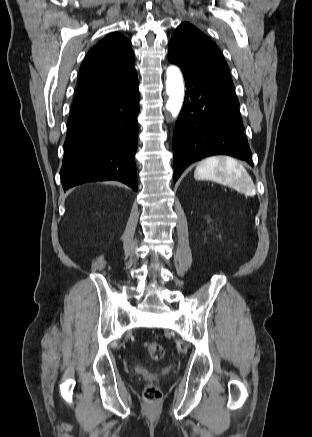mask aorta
<instances>
[{"mask_svg":"<svg viewBox=\"0 0 312 437\" xmlns=\"http://www.w3.org/2000/svg\"><path fill=\"white\" fill-rule=\"evenodd\" d=\"M166 77V92L169 96L166 103V109L173 117H176L181 110L184 100L182 74L176 66H170L166 71Z\"/></svg>","mask_w":312,"mask_h":437,"instance_id":"obj_1","label":"aorta"}]
</instances>
